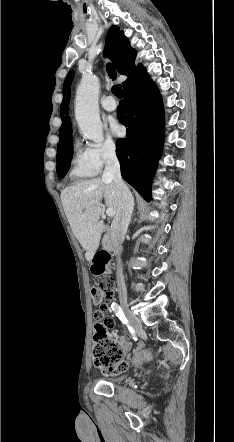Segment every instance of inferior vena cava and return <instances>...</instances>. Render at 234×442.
<instances>
[{"instance_id": "obj_1", "label": "inferior vena cava", "mask_w": 234, "mask_h": 442, "mask_svg": "<svg viewBox=\"0 0 234 442\" xmlns=\"http://www.w3.org/2000/svg\"><path fill=\"white\" fill-rule=\"evenodd\" d=\"M102 179L113 181L120 196L119 208L111 225L112 242L115 246L116 255L119 256L123 250L122 243L131 221L134 208V198L128 186L121 177L120 164L114 148H110L106 151V165ZM117 286L119 289V296L126 299L127 292L122 267L120 265V259L117 266Z\"/></svg>"}]
</instances>
